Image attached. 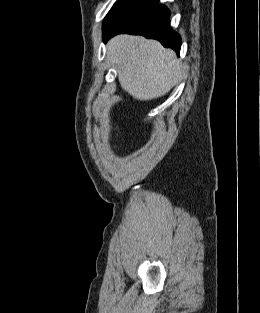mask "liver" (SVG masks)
Here are the masks:
<instances>
[{"mask_svg": "<svg viewBox=\"0 0 260 313\" xmlns=\"http://www.w3.org/2000/svg\"><path fill=\"white\" fill-rule=\"evenodd\" d=\"M107 55L115 64L121 87L138 100L164 96L183 75L182 64L173 50L141 36L112 38Z\"/></svg>", "mask_w": 260, "mask_h": 313, "instance_id": "1", "label": "liver"}]
</instances>
